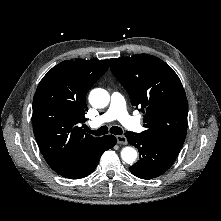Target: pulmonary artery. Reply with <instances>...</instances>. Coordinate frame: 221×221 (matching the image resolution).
<instances>
[{
  "mask_svg": "<svg viewBox=\"0 0 221 221\" xmlns=\"http://www.w3.org/2000/svg\"><path fill=\"white\" fill-rule=\"evenodd\" d=\"M119 120L126 128L142 132L143 128L138 120L130 116L126 110L125 100L118 92H114L111 96V103L108 110L90 122L92 127H98L104 123Z\"/></svg>",
  "mask_w": 221,
  "mask_h": 221,
  "instance_id": "obj_1",
  "label": "pulmonary artery"
}]
</instances>
